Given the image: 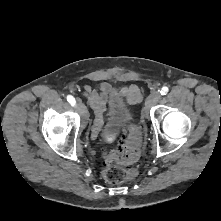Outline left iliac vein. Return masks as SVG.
I'll use <instances>...</instances> for the list:
<instances>
[{
  "mask_svg": "<svg viewBox=\"0 0 221 221\" xmlns=\"http://www.w3.org/2000/svg\"><path fill=\"white\" fill-rule=\"evenodd\" d=\"M161 99V95L158 91H153L147 98L145 103V113L148 115L149 109L156 105Z\"/></svg>",
  "mask_w": 221,
  "mask_h": 221,
  "instance_id": "4c4485c4",
  "label": "left iliac vein"
}]
</instances>
